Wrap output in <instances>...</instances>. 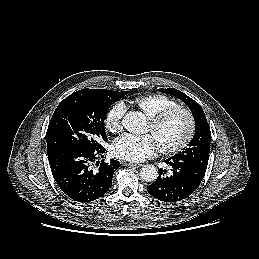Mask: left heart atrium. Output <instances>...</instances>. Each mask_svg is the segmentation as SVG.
<instances>
[{
  "mask_svg": "<svg viewBox=\"0 0 259 259\" xmlns=\"http://www.w3.org/2000/svg\"><path fill=\"white\" fill-rule=\"evenodd\" d=\"M157 145L151 135L137 137L125 134L114 141L111 147L112 154L129 162H142L152 157Z\"/></svg>",
  "mask_w": 259,
  "mask_h": 259,
  "instance_id": "left-heart-atrium-1",
  "label": "left heart atrium"
}]
</instances>
